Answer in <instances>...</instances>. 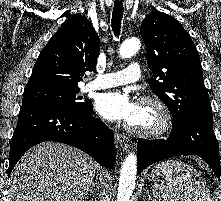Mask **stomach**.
<instances>
[{
    "mask_svg": "<svg viewBox=\"0 0 221 201\" xmlns=\"http://www.w3.org/2000/svg\"><path fill=\"white\" fill-rule=\"evenodd\" d=\"M159 178H162L161 175H157L154 170L152 171V173L150 174V179L154 180V181H159Z\"/></svg>",
    "mask_w": 221,
    "mask_h": 201,
    "instance_id": "0dacf381",
    "label": "stomach"
}]
</instances>
